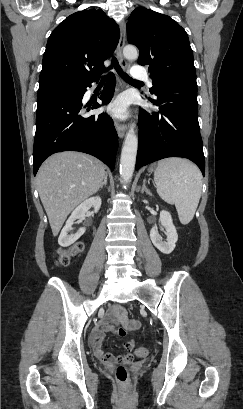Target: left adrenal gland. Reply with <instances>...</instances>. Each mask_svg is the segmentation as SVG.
Instances as JSON below:
<instances>
[{
  "label": "left adrenal gland",
  "instance_id": "obj_1",
  "mask_svg": "<svg viewBox=\"0 0 243 409\" xmlns=\"http://www.w3.org/2000/svg\"><path fill=\"white\" fill-rule=\"evenodd\" d=\"M140 189H141V193L145 192L147 195L151 196L150 190L146 187V180L145 179L143 180V184H142V187Z\"/></svg>",
  "mask_w": 243,
  "mask_h": 409
}]
</instances>
